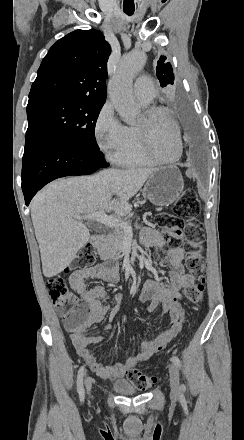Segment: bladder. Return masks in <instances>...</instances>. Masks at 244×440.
Here are the masks:
<instances>
[{"label": "bladder", "mask_w": 244, "mask_h": 440, "mask_svg": "<svg viewBox=\"0 0 244 440\" xmlns=\"http://www.w3.org/2000/svg\"><path fill=\"white\" fill-rule=\"evenodd\" d=\"M113 387L116 392L121 394H136V389L127 381H114Z\"/></svg>", "instance_id": "obj_1"}]
</instances>
